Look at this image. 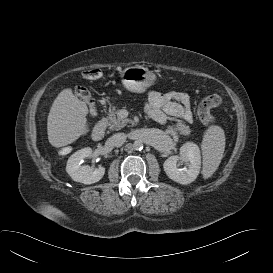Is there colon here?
Here are the masks:
<instances>
[{
	"instance_id": "5ec220e1",
	"label": "colon",
	"mask_w": 273,
	"mask_h": 273,
	"mask_svg": "<svg viewBox=\"0 0 273 273\" xmlns=\"http://www.w3.org/2000/svg\"><path fill=\"white\" fill-rule=\"evenodd\" d=\"M83 77L87 80H98L102 77V72L97 68H88L83 71ZM75 94L86 101L89 106L91 113L95 114V106L90 90L85 86H75ZM222 99L220 96L213 94L203 98L197 106V115L199 119L206 125H210L214 122V117L211 114V109L221 104Z\"/></svg>"
}]
</instances>
